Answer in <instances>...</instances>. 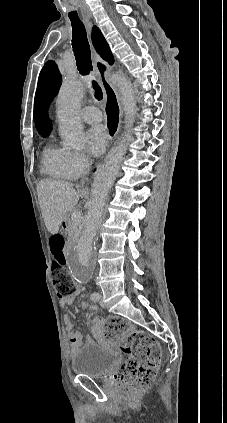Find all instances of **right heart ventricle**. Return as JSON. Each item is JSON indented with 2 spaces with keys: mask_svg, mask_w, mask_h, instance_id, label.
Here are the masks:
<instances>
[{
  "mask_svg": "<svg viewBox=\"0 0 227 423\" xmlns=\"http://www.w3.org/2000/svg\"><path fill=\"white\" fill-rule=\"evenodd\" d=\"M65 150L48 145L42 154L41 171L54 178H66L63 168Z\"/></svg>",
  "mask_w": 227,
  "mask_h": 423,
  "instance_id": "right-heart-ventricle-1",
  "label": "right heart ventricle"
}]
</instances>
